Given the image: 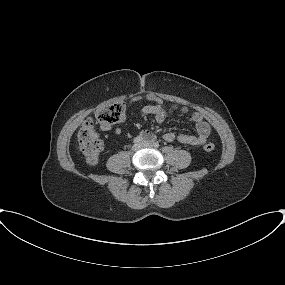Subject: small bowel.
Wrapping results in <instances>:
<instances>
[{"instance_id":"1","label":"small bowel","mask_w":285,"mask_h":285,"mask_svg":"<svg viewBox=\"0 0 285 285\" xmlns=\"http://www.w3.org/2000/svg\"><path fill=\"white\" fill-rule=\"evenodd\" d=\"M142 99H145L151 102L150 104L145 105L141 109L142 115L153 116L154 120L158 124L163 123L165 119L169 116L168 111L163 106L162 100L153 94H147L143 97L141 96L133 97L132 99H130L129 104L138 102ZM125 118L126 116L123 115V117L120 119L118 123V126L115 129V133L117 135L121 134L120 125L125 121ZM195 124H196V134L195 135L185 134V133L176 134L174 132H166L163 135V139L167 142L178 141L182 144L193 145V146L204 144L210 135V131H211L210 125L207 121H205L200 116H195ZM101 128L103 130H108L110 129V126L101 125ZM138 137H140L142 140H149V141H153L155 139V135L149 131L140 132Z\"/></svg>"}]
</instances>
